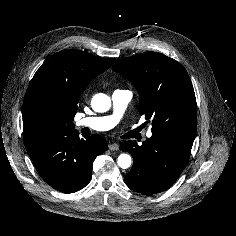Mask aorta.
I'll return each mask as SVG.
<instances>
[{"label": "aorta", "mask_w": 236, "mask_h": 236, "mask_svg": "<svg viewBox=\"0 0 236 236\" xmlns=\"http://www.w3.org/2000/svg\"><path fill=\"white\" fill-rule=\"evenodd\" d=\"M92 108L96 112H106L111 107V100L105 94L96 95L91 102ZM117 163L122 169H127L131 166V156L128 154H120Z\"/></svg>", "instance_id": "aorta-1"}]
</instances>
